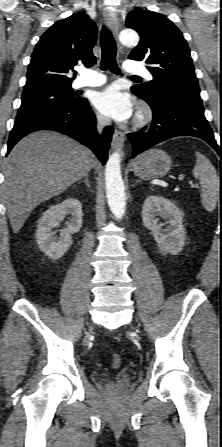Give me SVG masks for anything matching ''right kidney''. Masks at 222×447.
<instances>
[{"mask_svg": "<svg viewBox=\"0 0 222 447\" xmlns=\"http://www.w3.org/2000/svg\"><path fill=\"white\" fill-rule=\"evenodd\" d=\"M66 215H71L67 228L60 231V237H55L57 231H54L53 228ZM82 216V204L77 199L68 198L49 207L37 225L35 238L40 250L53 260L61 258L72 245L71 235L80 230Z\"/></svg>", "mask_w": 222, "mask_h": 447, "instance_id": "1", "label": "right kidney"}]
</instances>
